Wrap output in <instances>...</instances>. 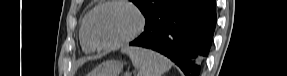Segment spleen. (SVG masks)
I'll use <instances>...</instances> for the list:
<instances>
[{
	"mask_svg": "<svg viewBox=\"0 0 287 76\" xmlns=\"http://www.w3.org/2000/svg\"><path fill=\"white\" fill-rule=\"evenodd\" d=\"M121 51L131 59L138 70L137 76H162L172 66L166 57L149 49L125 47Z\"/></svg>",
	"mask_w": 287,
	"mask_h": 76,
	"instance_id": "spleen-1",
	"label": "spleen"
}]
</instances>
